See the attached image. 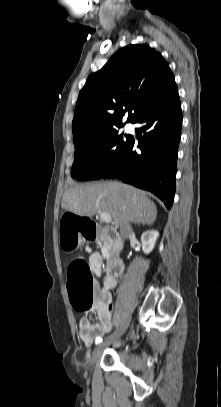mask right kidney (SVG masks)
Listing matches in <instances>:
<instances>
[{
	"instance_id": "1",
	"label": "right kidney",
	"mask_w": 221,
	"mask_h": 407,
	"mask_svg": "<svg viewBox=\"0 0 221 407\" xmlns=\"http://www.w3.org/2000/svg\"><path fill=\"white\" fill-rule=\"evenodd\" d=\"M158 236L159 232L157 230H148L143 232L141 236V243L142 250L145 254H149L153 250Z\"/></svg>"
}]
</instances>
